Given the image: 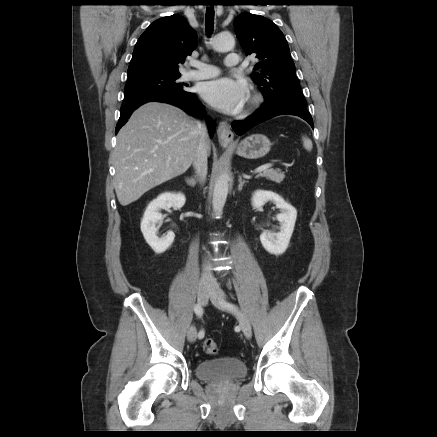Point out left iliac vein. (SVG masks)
I'll return each instance as SVG.
<instances>
[{"instance_id":"left-iliac-vein-1","label":"left iliac vein","mask_w":437,"mask_h":437,"mask_svg":"<svg viewBox=\"0 0 437 437\" xmlns=\"http://www.w3.org/2000/svg\"><path fill=\"white\" fill-rule=\"evenodd\" d=\"M210 300L216 307L236 315L244 335L246 336V338H251L252 328L249 319L241 310L237 308L229 309L225 306L226 296L222 290H220L219 288L212 289L210 294Z\"/></svg>"}]
</instances>
